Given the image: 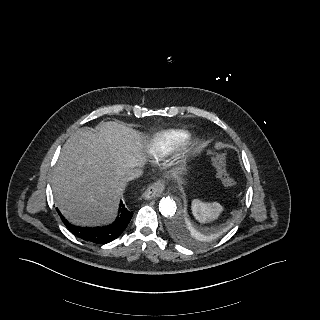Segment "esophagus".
I'll use <instances>...</instances> for the list:
<instances>
[{"mask_svg":"<svg viewBox=\"0 0 320 320\" xmlns=\"http://www.w3.org/2000/svg\"><path fill=\"white\" fill-rule=\"evenodd\" d=\"M165 189L164 183L158 180L152 183L143 193V197L147 200L160 197Z\"/></svg>","mask_w":320,"mask_h":320,"instance_id":"esophagus-1","label":"esophagus"}]
</instances>
